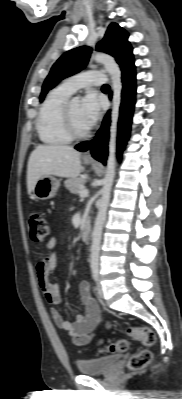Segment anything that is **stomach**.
Wrapping results in <instances>:
<instances>
[{"label": "stomach", "instance_id": "0dacf381", "mask_svg": "<svg viewBox=\"0 0 182 399\" xmlns=\"http://www.w3.org/2000/svg\"><path fill=\"white\" fill-rule=\"evenodd\" d=\"M59 186L58 179L53 176H44L35 183L32 196L39 200L50 199L56 195Z\"/></svg>", "mask_w": 182, "mask_h": 399}]
</instances>
